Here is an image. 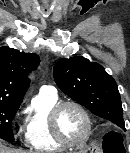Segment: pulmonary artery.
Listing matches in <instances>:
<instances>
[{
	"mask_svg": "<svg viewBox=\"0 0 130 153\" xmlns=\"http://www.w3.org/2000/svg\"><path fill=\"white\" fill-rule=\"evenodd\" d=\"M39 92L56 94V89L53 86L44 85L40 88Z\"/></svg>",
	"mask_w": 130,
	"mask_h": 153,
	"instance_id": "obj_1",
	"label": "pulmonary artery"
}]
</instances>
